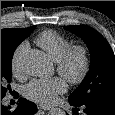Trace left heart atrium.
<instances>
[{
	"mask_svg": "<svg viewBox=\"0 0 115 115\" xmlns=\"http://www.w3.org/2000/svg\"><path fill=\"white\" fill-rule=\"evenodd\" d=\"M66 91V83L62 78L34 79L23 88V95L27 99L43 106L56 101L59 94Z\"/></svg>",
	"mask_w": 115,
	"mask_h": 115,
	"instance_id": "obj_1",
	"label": "left heart atrium"
}]
</instances>
